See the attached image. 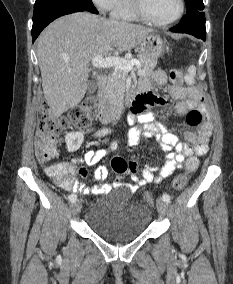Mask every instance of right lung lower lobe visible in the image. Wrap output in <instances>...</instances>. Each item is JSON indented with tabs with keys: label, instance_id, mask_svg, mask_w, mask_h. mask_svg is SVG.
<instances>
[{
	"label": "right lung lower lobe",
	"instance_id": "1",
	"mask_svg": "<svg viewBox=\"0 0 233 284\" xmlns=\"http://www.w3.org/2000/svg\"><path fill=\"white\" fill-rule=\"evenodd\" d=\"M80 11H86V10H80V9H68V10H57V11H53L51 13H48L36 20H33V27H32V38L33 40H35L38 35L40 34V32L50 23L52 22L54 19L66 15V14H70V13H74V12H80ZM98 13V11H97Z\"/></svg>",
	"mask_w": 233,
	"mask_h": 284
}]
</instances>
